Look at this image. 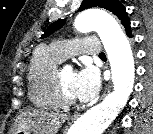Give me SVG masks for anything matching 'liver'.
Segmentation results:
<instances>
[{
	"mask_svg": "<svg viewBox=\"0 0 153 134\" xmlns=\"http://www.w3.org/2000/svg\"><path fill=\"white\" fill-rule=\"evenodd\" d=\"M66 118L67 115L59 110L29 109L20 114L18 130H29L39 134H54Z\"/></svg>",
	"mask_w": 153,
	"mask_h": 134,
	"instance_id": "6515ba94",
	"label": "liver"
}]
</instances>
